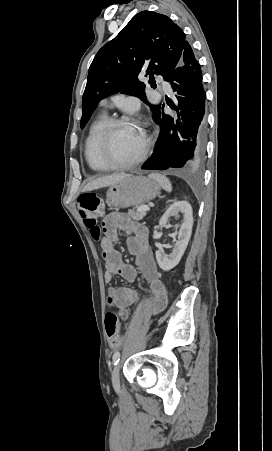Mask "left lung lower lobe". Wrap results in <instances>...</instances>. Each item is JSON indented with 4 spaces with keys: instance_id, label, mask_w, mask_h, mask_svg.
<instances>
[{
    "instance_id": "1",
    "label": "left lung lower lobe",
    "mask_w": 272,
    "mask_h": 451,
    "mask_svg": "<svg viewBox=\"0 0 272 451\" xmlns=\"http://www.w3.org/2000/svg\"><path fill=\"white\" fill-rule=\"evenodd\" d=\"M178 100L177 119L161 113L156 123L161 125L159 144L143 169H190L203 163L206 137V93L202 71L188 43L177 67L168 80Z\"/></svg>"
}]
</instances>
